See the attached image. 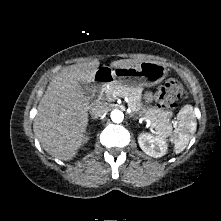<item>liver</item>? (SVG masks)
I'll list each match as a JSON object with an SVG mask.
<instances>
[{"instance_id": "obj_1", "label": "liver", "mask_w": 221, "mask_h": 221, "mask_svg": "<svg viewBox=\"0 0 221 221\" xmlns=\"http://www.w3.org/2000/svg\"><path fill=\"white\" fill-rule=\"evenodd\" d=\"M99 61L64 68L49 83L37 107L33 131L42 148L52 157L71 160L88 124V99L80 81H93ZM134 61L121 59L111 67H131Z\"/></svg>"}]
</instances>
